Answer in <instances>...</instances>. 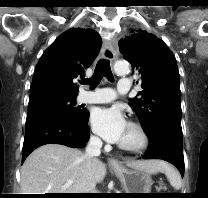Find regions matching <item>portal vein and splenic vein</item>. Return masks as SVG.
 Segmentation results:
<instances>
[{"instance_id":"obj_1","label":"portal vein and splenic vein","mask_w":208,"mask_h":198,"mask_svg":"<svg viewBox=\"0 0 208 198\" xmlns=\"http://www.w3.org/2000/svg\"><path fill=\"white\" fill-rule=\"evenodd\" d=\"M73 182L71 180L67 181V183L65 184V187H68L72 184Z\"/></svg>"}]
</instances>
